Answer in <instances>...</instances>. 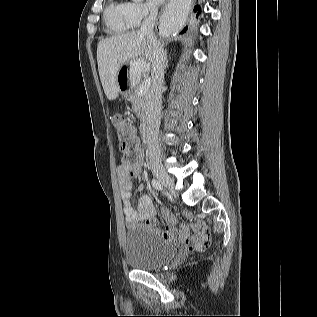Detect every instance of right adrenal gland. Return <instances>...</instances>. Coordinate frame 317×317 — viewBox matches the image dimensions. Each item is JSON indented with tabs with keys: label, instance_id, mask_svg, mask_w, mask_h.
I'll list each match as a JSON object with an SVG mask.
<instances>
[{
	"label": "right adrenal gland",
	"instance_id": "1",
	"mask_svg": "<svg viewBox=\"0 0 317 317\" xmlns=\"http://www.w3.org/2000/svg\"><path fill=\"white\" fill-rule=\"evenodd\" d=\"M168 67L167 52L165 51V68Z\"/></svg>",
	"mask_w": 317,
	"mask_h": 317
}]
</instances>
